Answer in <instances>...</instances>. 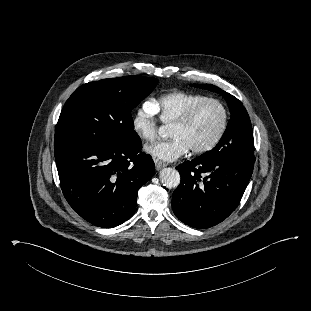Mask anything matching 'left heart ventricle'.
<instances>
[{
    "label": "left heart ventricle",
    "mask_w": 311,
    "mask_h": 311,
    "mask_svg": "<svg viewBox=\"0 0 311 311\" xmlns=\"http://www.w3.org/2000/svg\"><path fill=\"white\" fill-rule=\"evenodd\" d=\"M222 122L221 108L214 103L204 105L186 126L172 125L170 136L183 139L190 149L207 144L217 133Z\"/></svg>",
    "instance_id": "left-heart-ventricle-1"
}]
</instances>
